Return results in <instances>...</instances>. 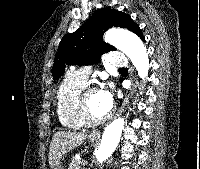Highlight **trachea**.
<instances>
[{"mask_svg":"<svg viewBox=\"0 0 200 169\" xmlns=\"http://www.w3.org/2000/svg\"><path fill=\"white\" fill-rule=\"evenodd\" d=\"M119 70H122V71H127L125 68H119Z\"/></svg>","mask_w":200,"mask_h":169,"instance_id":"trachea-1","label":"trachea"}]
</instances>
